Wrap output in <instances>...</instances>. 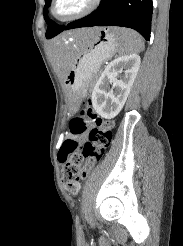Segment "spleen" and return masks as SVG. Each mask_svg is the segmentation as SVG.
Masks as SVG:
<instances>
[{"mask_svg":"<svg viewBox=\"0 0 183 246\" xmlns=\"http://www.w3.org/2000/svg\"><path fill=\"white\" fill-rule=\"evenodd\" d=\"M121 29V28H120ZM121 40L120 53L141 52L144 50V41L142 37L133 30L122 28L119 33ZM96 52H93L92 58ZM89 56H84L80 61V66L85 67L90 62Z\"/></svg>","mask_w":183,"mask_h":246,"instance_id":"spleen-1","label":"spleen"}]
</instances>
